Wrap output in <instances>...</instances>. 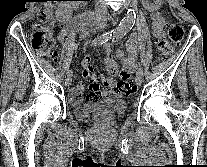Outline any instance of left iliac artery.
Here are the masks:
<instances>
[{
    "mask_svg": "<svg viewBox=\"0 0 207 167\" xmlns=\"http://www.w3.org/2000/svg\"><path fill=\"white\" fill-rule=\"evenodd\" d=\"M125 34H126V31H124V32H117V33L114 34V36L112 37V41H113V42H116V41L122 39L123 36H125ZM137 74L143 75V70L140 68V69L137 71Z\"/></svg>",
    "mask_w": 207,
    "mask_h": 167,
    "instance_id": "1",
    "label": "left iliac artery"
}]
</instances>
